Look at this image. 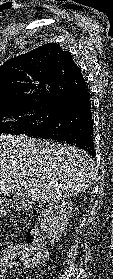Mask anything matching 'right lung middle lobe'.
Listing matches in <instances>:
<instances>
[{
    "label": "right lung middle lobe",
    "mask_w": 113,
    "mask_h": 279,
    "mask_svg": "<svg viewBox=\"0 0 113 279\" xmlns=\"http://www.w3.org/2000/svg\"><path fill=\"white\" fill-rule=\"evenodd\" d=\"M60 111V107L49 104L2 107L0 108V134H25L37 127L53 122L59 116ZM7 116L18 120L14 123H2L3 117Z\"/></svg>",
    "instance_id": "1"
}]
</instances>
